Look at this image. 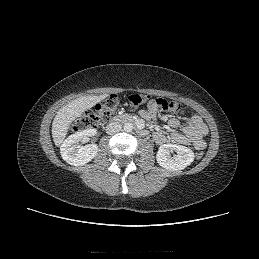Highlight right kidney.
<instances>
[{"label": "right kidney", "mask_w": 259, "mask_h": 259, "mask_svg": "<svg viewBox=\"0 0 259 259\" xmlns=\"http://www.w3.org/2000/svg\"><path fill=\"white\" fill-rule=\"evenodd\" d=\"M96 129H87L70 135L61 145L60 152L64 161L73 166L90 162L98 152L96 144L81 145L89 136H94Z\"/></svg>", "instance_id": "right-kidney-1"}]
</instances>
